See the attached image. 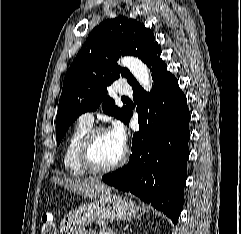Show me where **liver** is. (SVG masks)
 <instances>
[{
	"mask_svg": "<svg viewBox=\"0 0 241 234\" xmlns=\"http://www.w3.org/2000/svg\"><path fill=\"white\" fill-rule=\"evenodd\" d=\"M51 181L60 185L70 192L82 195L88 198H98L101 195L110 192L111 188L104 183L94 178H69L62 176H55Z\"/></svg>",
	"mask_w": 241,
	"mask_h": 234,
	"instance_id": "1",
	"label": "liver"
}]
</instances>
